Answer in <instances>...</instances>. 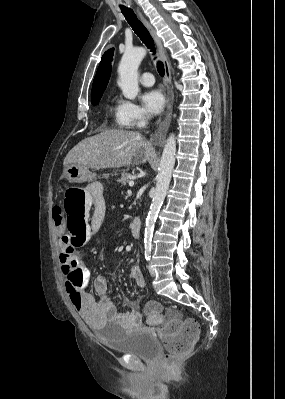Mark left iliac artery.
<instances>
[{"mask_svg": "<svg viewBox=\"0 0 285 399\" xmlns=\"http://www.w3.org/2000/svg\"><path fill=\"white\" fill-rule=\"evenodd\" d=\"M145 259L147 260V261H150V258H151V248H149V247H145Z\"/></svg>", "mask_w": 285, "mask_h": 399, "instance_id": "1", "label": "left iliac artery"}]
</instances>
